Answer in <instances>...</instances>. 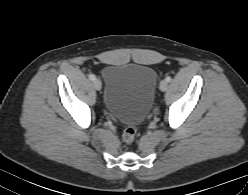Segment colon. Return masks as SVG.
<instances>
[{
	"label": "colon",
	"mask_w": 248,
	"mask_h": 195,
	"mask_svg": "<svg viewBox=\"0 0 248 195\" xmlns=\"http://www.w3.org/2000/svg\"><path fill=\"white\" fill-rule=\"evenodd\" d=\"M135 136L136 128L134 126H127L123 131L122 139L125 144L131 145L135 140Z\"/></svg>",
	"instance_id": "colon-1"
}]
</instances>
